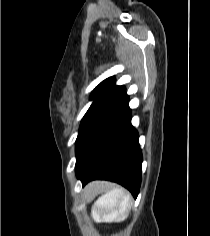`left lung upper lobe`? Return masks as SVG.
I'll return each instance as SVG.
<instances>
[{
	"label": "left lung upper lobe",
	"mask_w": 210,
	"mask_h": 236,
	"mask_svg": "<svg viewBox=\"0 0 210 236\" xmlns=\"http://www.w3.org/2000/svg\"><path fill=\"white\" fill-rule=\"evenodd\" d=\"M124 91V86L115 85L113 77L101 82L91 94L90 98L93 100V103L81 121L79 133L106 108L113 104Z\"/></svg>",
	"instance_id": "obj_1"
}]
</instances>
